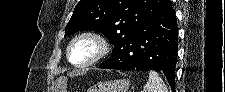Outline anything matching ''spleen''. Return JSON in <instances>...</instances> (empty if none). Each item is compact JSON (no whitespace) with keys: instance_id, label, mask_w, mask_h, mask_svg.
<instances>
[{"instance_id":"1","label":"spleen","mask_w":225,"mask_h":92,"mask_svg":"<svg viewBox=\"0 0 225 92\" xmlns=\"http://www.w3.org/2000/svg\"><path fill=\"white\" fill-rule=\"evenodd\" d=\"M143 92H168V89L158 73L150 71L149 79L143 88Z\"/></svg>"}]
</instances>
